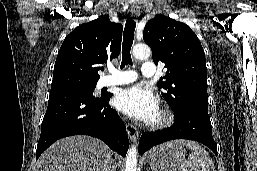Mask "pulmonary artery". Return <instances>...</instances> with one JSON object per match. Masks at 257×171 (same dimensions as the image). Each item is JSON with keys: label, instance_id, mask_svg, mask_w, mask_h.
Wrapping results in <instances>:
<instances>
[{"label": "pulmonary artery", "instance_id": "1", "mask_svg": "<svg viewBox=\"0 0 257 171\" xmlns=\"http://www.w3.org/2000/svg\"><path fill=\"white\" fill-rule=\"evenodd\" d=\"M111 75L102 78V86L125 85L133 83L137 80V73L133 70H115L110 69ZM156 66L152 62H144L141 68V74L144 77H152L155 75Z\"/></svg>", "mask_w": 257, "mask_h": 171}]
</instances>
